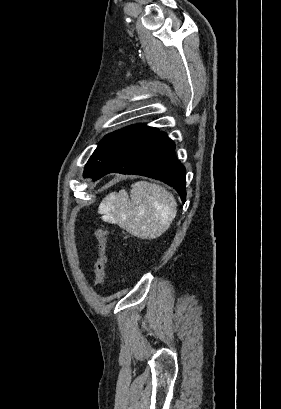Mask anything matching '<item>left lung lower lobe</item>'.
I'll list each match as a JSON object with an SVG mask.
<instances>
[{
	"label": "left lung lower lobe",
	"mask_w": 281,
	"mask_h": 409,
	"mask_svg": "<svg viewBox=\"0 0 281 409\" xmlns=\"http://www.w3.org/2000/svg\"><path fill=\"white\" fill-rule=\"evenodd\" d=\"M112 172L137 174L172 186L186 200L185 167L175 155V145L164 132L157 131L113 157L91 177L99 179Z\"/></svg>",
	"instance_id": "left-lung-lower-lobe-1"
}]
</instances>
